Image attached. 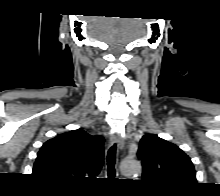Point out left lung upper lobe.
<instances>
[{"mask_svg":"<svg viewBox=\"0 0 220 196\" xmlns=\"http://www.w3.org/2000/svg\"><path fill=\"white\" fill-rule=\"evenodd\" d=\"M137 156L142 161L143 182L162 193H180L197 183L190 158L155 134L142 137Z\"/></svg>","mask_w":220,"mask_h":196,"instance_id":"obj_1","label":"left lung upper lobe"}]
</instances>
